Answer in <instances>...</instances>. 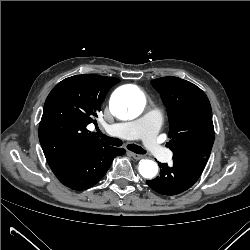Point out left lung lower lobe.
<instances>
[{
  "instance_id": "0a47b994",
  "label": "left lung lower lobe",
  "mask_w": 250,
  "mask_h": 250,
  "mask_svg": "<svg viewBox=\"0 0 250 250\" xmlns=\"http://www.w3.org/2000/svg\"><path fill=\"white\" fill-rule=\"evenodd\" d=\"M206 158H187L174 160L173 167L158 163L162 168L160 176L146 183L157 193L176 195L190 188L200 177L206 163Z\"/></svg>"
}]
</instances>
